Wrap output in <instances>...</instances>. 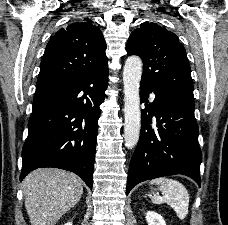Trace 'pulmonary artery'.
I'll use <instances>...</instances> for the list:
<instances>
[{"label":"pulmonary artery","mask_w":228,"mask_h":225,"mask_svg":"<svg viewBox=\"0 0 228 225\" xmlns=\"http://www.w3.org/2000/svg\"><path fill=\"white\" fill-rule=\"evenodd\" d=\"M154 98H155L154 94L151 93V94H150V99L153 100Z\"/></svg>","instance_id":"e3ab8cb5"}]
</instances>
